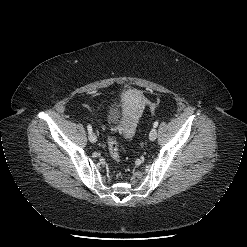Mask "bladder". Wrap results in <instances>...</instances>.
<instances>
[{
  "instance_id": "bladder-1",
  "label": "bladder",
  "mask_w": 247,
  "mask_h": 247,
  "mask_svg": "<svg viewBox=\"0 0 247 247\" xmlns=\"http://www.w3.org/2000/svg\"><path fill=\"white\" fill-rule=\"evenodd\" d=\"M107 123L109 128L123 137H129L133 130L134 116L114 104L107 112Z\"/></svg>"
}]
</instances>
